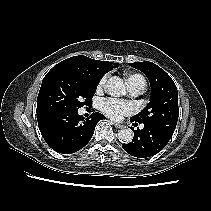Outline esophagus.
<instances>
[{
	"label": "esophagus",
	"instance_id": "obj_1",
	"mask_svg": "<svg viewBox=\"0 0 211 211\" xmlns=\"http://www.w3.org/2000/svg\"><path fill=\"white\" fill-rule=\"evenodd\" d=\"M111 124H113L117 129H121V128L124 127L122 124H119V123H116V122H113V121H111Z\"/></svg>",
	"mask_w": 211,
	"mask_h": 211
}]
</instances>
